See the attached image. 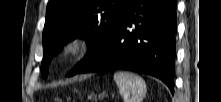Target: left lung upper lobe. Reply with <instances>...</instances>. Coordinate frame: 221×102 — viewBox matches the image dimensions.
<instances>
[{
    "instance_id": "obj_1",
    "label": "left lung upper lobe",
    "mask_w": 221,
    "mask_h": 102,
    "mask_svg": "<svg viewBox=\"0 0 221 102\" xmlns=\"http://www.w3.org/2000/svg\"><path fill=\"white\" fill-rule=\"evenodd\" d=\"M128 0H49L43 30L42 76L62 45L75 38L86 39L89 51L68 73L74 75L101 48L113 32Z\"/></svg>"
}]
</instances>
